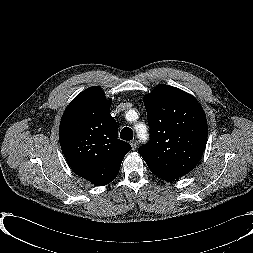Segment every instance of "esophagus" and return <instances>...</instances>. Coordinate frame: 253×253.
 I'll return each mask as SVG.
<instances>
[{
	"instance_id": "34e87169",
	"label": "esophagus",
	"mask_w": 253,
	"mask_h": 253,
	"mask_svg": "<svg viewBox=\"0 0 253 253\" xmlns=\"http://www.w3.org/2000/svg\"><path fill=\"white\" fill-rule=\"evenodd\" d=\"M130 144H131L132 149L136 150V148L138 146V141L137 140H132Z\"/></svg>"
}]
</instances>
